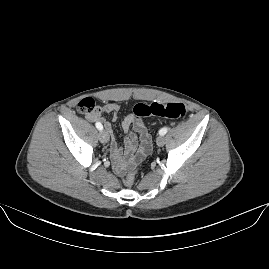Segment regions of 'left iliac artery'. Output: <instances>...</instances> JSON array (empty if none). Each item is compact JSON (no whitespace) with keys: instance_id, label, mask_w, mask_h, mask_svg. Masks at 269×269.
<instances>
[{"instance_id":"1","label":"left iliac artery","mask_w":269,"mask_h":269,"mask_svg":"<svg viewBox=\"0 0 269 269\" xmlns=\"http://www.w3.org/2000/svg\"><path fill=\"white\" fill-rule=\"evenodd\" d=\"M167 130H168V129L164 127V128H162V129L159 131V134H160V135H165V134L167 133Z\"/></svg>"}]
</instances>
